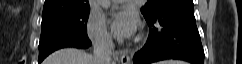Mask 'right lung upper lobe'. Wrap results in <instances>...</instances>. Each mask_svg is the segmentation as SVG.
Instances as JSON below:
<instances>
[{
    "label": "right lung upper lobe",
    "mask_w": 242,
    "mask_h": 64,
    "mask_svg": "<svg viewBox=\"0 0 242 64\" xmlns=\"http://www.w3.org/2000/svg\"><path fill=\"white\" fill-rule=\"evenodd\" d=\"M90 9L88 0H45L43 13Z\"/></svg>",
    "instance_id": "right-lung-upper-lobe-1"
}]
</instances>
